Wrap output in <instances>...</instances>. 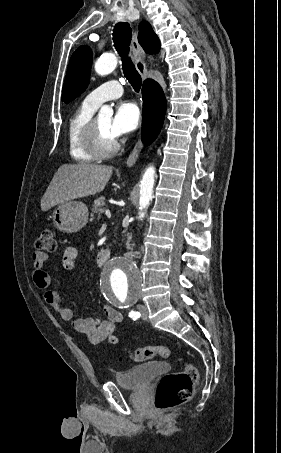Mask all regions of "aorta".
Returning <instances> with one entry per match:
<instances>
[{"instance_id": "obj_1", "label": "aorta", "mask_w": 281, "mask_h": 453, "mask_svg": "<svg viewBox=\"0 0 281 453\" xmlns=\"http://www.w3.org/2000/svg\"><path fill=\"white\" fill-rule=\"evenodd\" d=\"M117 66V57L114 54H105L95 63V71L103 76L114 71ZM113 109L103 106L99 111L100 118H110ZM155 181V168L148 167L140 181L139 218L152 200ZM142 277L136 264L127 259H112L102 270L100 276V290L108 303L120 306L134 303L141 292Z\"/></svg>"}]
</instances>
